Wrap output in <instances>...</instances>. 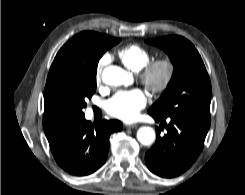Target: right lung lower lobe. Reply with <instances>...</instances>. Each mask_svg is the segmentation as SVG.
Listing matches in <instances>:
<instances>
[{"mask_svg": "<svg viewBox=\"0 0 245 195\" xmlns=\"http://www.w3.org/2000/svg\"><path fill=\"white\" fill-rule=\"evenodd\" d=\"M121 129L122 124L118 120H103L97 125L81 117L48 139V142L60 167L69 174L84 176L95 172L104 164L109 137Z\"/></svg>", "mask_w": 245, "mask_h": 195, "instance_id": "obj_1", "label": "right lung lower lobe"}]
</instances>
